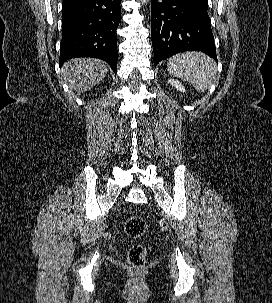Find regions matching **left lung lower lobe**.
Here are the masks:
<instances>
[{
  "mask_svg": "<svg viewBox=\"0 0 272 303\" xmlns=\"http://www.w3.org/2000/svg\"><path fill=\"white\" fill-rule=\"evenodd\" d=\"M207 0H152L154 65L176 53L196 50L217 61Z\"/></svg>",
  "mask_w": 272,
  "mask_h": 303,
  "instance_id": "0a47b994",
  "label": "left lung lower lobe"
}]
</instances>
